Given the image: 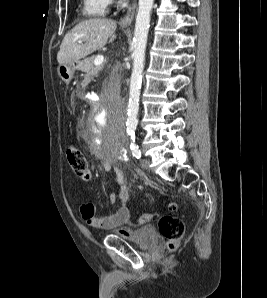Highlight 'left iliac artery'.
<instances>
[{"label":"left iliac artery","mask_w":267,"mask_h":298,"mask_svg":"<svg viewBox=\"0 0 267 298\" xmlns=\"http://www.w3.org/2000/svg\"><path fill=\"white\" fill-rule=\"evenodd\" d=\"M130 148L132 150V155L135 158L140 159L141 158V151L139 149V146L136 144L135 136L134 135L131 136Z\"/></svg>","instance_id":"1"}]
</instances>
